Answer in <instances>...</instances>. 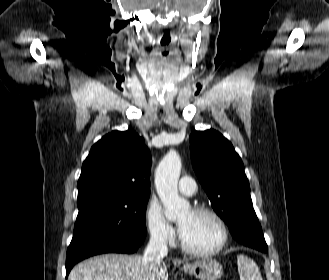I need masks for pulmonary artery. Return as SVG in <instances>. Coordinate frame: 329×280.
I'll return each mask as SVG.
<instances>
[{"mask_svg": "<svg viewBox=\"0 0 329 280\" xmlns=\"http://www.w3.org/2000/svg\"><path fill=\"white\" fill-rule=\"evenodd\" d=\"M178 188L184 195H193L196 192V183L191 177L184 176L179 180Z\"/></svg>", "mask_w": 329, "mask_h": 280, "instance_id": "1", "label": "pulmonary artery"}]
</instances>
